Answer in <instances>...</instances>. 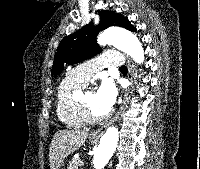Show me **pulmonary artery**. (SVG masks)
<instances>
[{"instance_id":"1","label":"pulmonary artery","mask_w":200,"mask_h":169,"mask_svg":"<svg viewBox=\"0 0 200 169\" xmlns=\"http://www.w3.org/2000/svg\"><path fill=\"white\" fill-rule=\"evenodd\" d=\"M122 63L121 54L118 51H110L79 64L68 73V77L85 85L96 71L106 66H121Z\"/></svg>"}]
</instances>
